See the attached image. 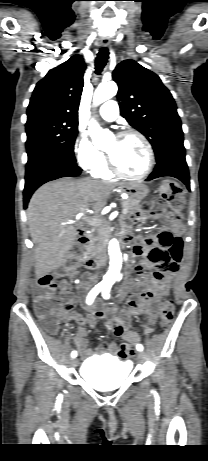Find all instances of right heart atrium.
I'll use <instances>...</instances> for the list:
<instances>
[{
    "label": "right heart atrium",
    "instance_id": "right-heart-atrium-1",
    "mask_svg": "<svg viewBox=\"0 0 208 461\" xmlns=\"http://www.w3.org/2000/svg\"><path fill=\"white\" fill-rule=\"evenodd\" d=\"M77 164L85 171L92 170L101 160L102 153L94 147L84 133H79L74 143Z\"/></svg>",
    "mask_w": 208,
    "mask_h": 461
}]
</instances>
